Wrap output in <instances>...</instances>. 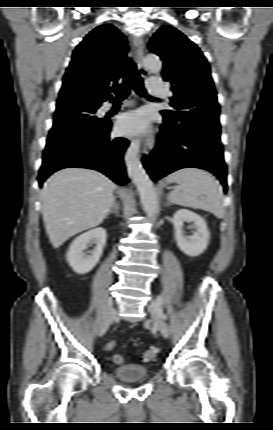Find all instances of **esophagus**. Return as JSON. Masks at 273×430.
<instances>
[{"label":"esophagus","mask_w":273,"mask_h":430,"mask_svg":"<svg viewBox=\"0 0 273 430\" xmlns=\"http://www.w3.org/2000/svg\"><path fill=\"white\" fill-rule=\"evenodd\" d=\"M132 45L135 50V56L138 64V70L142 77H146L148 75L147 69L144 66V43L141 38L132 36ZM153 150V139L152 136H148L143 145V154L149 156Z\"/></svg>","instance_id":"34e87169"}]
</instances>
